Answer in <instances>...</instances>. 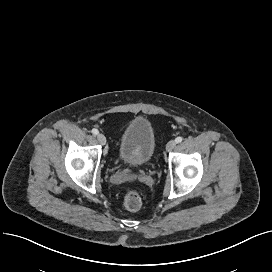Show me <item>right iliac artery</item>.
<instances>
[{
	"label": "right iliac artery",
	"instance_id": "right-iliac-artery-1",
	"mask_svg": "<svg viewBox=\"0 0 272 272\" xmlns=\"http://www.w3.org/2000/svg\"><path fill=\"white\" fill-rule=\"evenodd\" d=\"M92 133H93L94 135H97V134L99 133V131H98L97 129H92Z\"/></svg>",
	"mask_w": 272,
	"mask_h": 272
}]
</instances>
